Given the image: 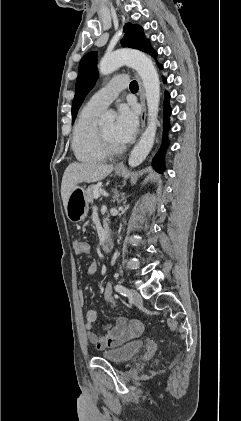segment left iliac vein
Listing matches in <instances>:
<instances>
[{
    "instance_id": "obj_1",
    "label": "left iliac vein",
    "mask_w": 241,
    "mask_h": 421,
    "mask_svg": "<svg viewBox=\"0 0 241 421\" xmlns=\"http://www.w3.org/2000/svg\"><path fill=\"white\" fill-rule=\"evenodd\" d=\"M129 300L131 303L135 305H139L142 303V297L141 295L134 289H131L129 291Z\"/></svg>"
}]
</instances>
